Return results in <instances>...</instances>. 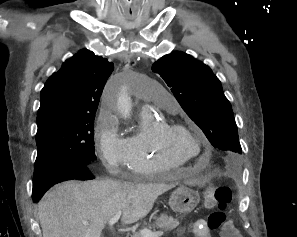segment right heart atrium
Masks as SVG:
<instances>
[{"label":"right heart atrium","mask_w":297,"mask_h":237,"mask_svg":"<svg viewBox=\"0 0 297 237\" xmlns=\"http://www.w3.org/2000/svg\"><path fill=\"white\" fill-rule=\"evenodd\" d=\"M95 132L101 159L111 172L118 173L128 162V139L121 133L117 115L110 109L102 110Z\"/></svg>","instance_id":"1"}]
</instances>
